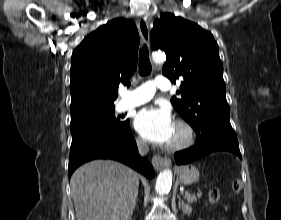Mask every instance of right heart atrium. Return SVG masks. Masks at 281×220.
Here are the masks:
<instances>
[{
    "label": "right heart atrium",
    "instance_id": "right-heart-atrium-1",
    "mask_svg": "<svg viewBox=\"0 0 281 220\" xmlns=\"http://www.w3.org/2000/svg\"><path fill=\"white\" fill-rule=\"evenodd\" d=\"M136 143H137V145H138L139 147H141V148H144V147L146 146L145 141H144L142 138H140V137H138V138L136 139Z\"/></svg>",
    "mask_w": 281,
    "mask_h": 220
}]
</instances>
